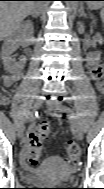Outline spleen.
I'll use <instances>...</instances> for the list:
<instances>
[{
    "mask_svg": "<svg viewBox=\"0 0 104 189\" xmlns=\"http://www.w3.org/2000/svg\"><path fill=\"white\" fill-rule=\"evenodd\" d=\"M87 4L92 9H98L102 6V3L99 1H88Z\"/></svg>",
    "mask_w": 104,
    "mask_h": 189,
    "instance_id": "spleen-1",
    "label": "spleen"
}]
</instances>
